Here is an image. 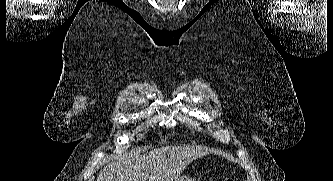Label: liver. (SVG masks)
<instances>
[{
	"label": "liver",
	"mask_w": 333,
	"mask_h": 181,
	"mask_svg": "<svg viewBox=\"0 0 333 181\" xmlns=\"http://www.w3.org/2000/svg\"><path fill=\"white\" fill-rule=\"evenodd\" d=\"M204 155L200 147L181 146H164L134 157L118 155L96 181H176L193 160Z\"/></svg>",
	"instance_id": "liver-1"
}]
</instances>
